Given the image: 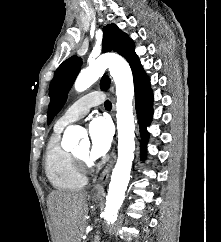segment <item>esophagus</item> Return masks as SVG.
<instances>
[{"mask_svg":"<svg viewBox=\"0 0 221 242\" xmlns=\"http://www.w3.org/2000/svg\"><path fill=\"white\" fill-rule=\"evenodd\" d=\"M115 161H116V152H115V149H113L109 161L107 162L104 170L102 171L101 176L99 177L97 183L94 185V187L91 191L92 197L99 198V197L103 196L104 188L108 183L110 173L115 164Z\"/></svg>","mask_w":221,"mask_h":242,"instance_id":"obj_1","label":"esophagus"}]
</instances>
